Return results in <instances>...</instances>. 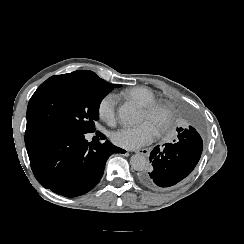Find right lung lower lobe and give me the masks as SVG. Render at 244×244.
Returning <instances> with one entry per match:
<instances>
[{
    "instance_id": "obj_1",
    "label": "right lung lower lobe",
    "mask_w": 244,
    "mask_h": 244,
    "mask_svg": "<svg viewBox=\"0 0 244 244\" xmlns=\"http://www.w3.org/2000/svg\"><path fill=\"white\" fill-rule=\"evenodd\" d=\"M25 144L39 183L66 197L91 190L100 181L109 156L125 153L109 141L89 143L84 134L43 125L26 127Z\"/></svg>"
}]
</instances>
